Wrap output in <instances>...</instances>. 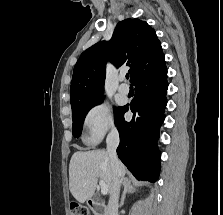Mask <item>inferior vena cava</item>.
Instances as JSON below:
<instances>
[{
    "label": "inferior vena cava",
    "mask_w": 223,
    "mask_h": 215,
    "mask_svg": "<svg viewBox=\"0 0 223 215\" xmlns=\"http://www.w3.org/2000/svg\"><path fill=\"white\" fill-rule=\"evenodd\" d=\"M119 133L115 127L111 129L110 133L107 135L106 143H107V151L108 155L111 159L113 177H114V185H113V193H111V197L109 199L106 215H118V197H119V189L121 185L120 179V161L117 157L116 147L119 145Z\"/></svg>",
    "instance_id": "inferior-vena-cava-1"
}]
</instances>
